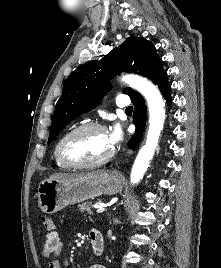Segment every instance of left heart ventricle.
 <instances>
[{
  "label": "left heart ventricle",
  "mask_w": 221,
  "mask_h": 268,
  "mask_svg": "<svg viewBox=\"0 0 221 268\" xmlns=\"http://www.w3.org/2000/svg\"><path fill=\"white\" fill-rule=\"evenodd\" d=\"M112 148L107 131L90 129L71 137L64 146V152L72 160L90 161L104 157Z\"/></svg>",
  "instance_id": "left-heart-ventricle-1"
}]
</instances>
